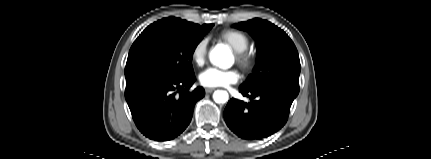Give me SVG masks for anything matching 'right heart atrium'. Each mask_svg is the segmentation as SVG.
Segmentation results:
<instances>
[{"label": "right heart atrium", "instance_id": "1", "mask_svg": "<svg viewBox=\"0 0 431 159\" xmlns=\"http://www.w3.org/2000/svg\"><path fill=\"white\" fill-rule=\"evenodd\" d=\"M207 45L208 40L206 38H201L194 44L191 50V59L195 64L202 65L204 63L207 54Z\"/></svg>", "mask_w": 431, "mask_h": 159}]
</instances>
